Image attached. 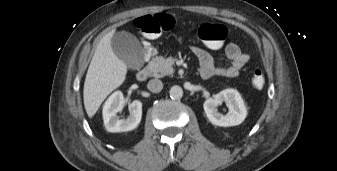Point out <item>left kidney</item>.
<instances>
[{
	"mask_svg": "<svg viewBox=\"0 0 337 171\" xmlns=\"http://www.w3.org/2000/svg\"><path fill=\"white\" fill-rule=\"evenodd\" d=\"M226 101L229 112L223 115L217 111V106ZM204 111L213 125L229 127L241 124L247 115L244 101L237 90L225 89L203 104Z\"/></svg>",
	"mask_w": 337,
	"mask_h": 171,
	"instance_id": "left-kidney-1",
	"label": "left kidney"
}]
</instances>
